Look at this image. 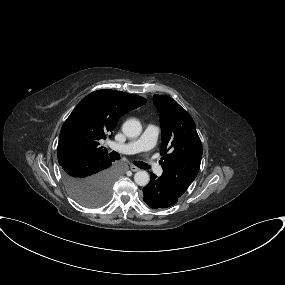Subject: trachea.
I'll use <instances>...</instances> for the list:
<instances>
[{
	"label": "trachea",
	"mask_w": 285,
	"mask_h": 285,
	"mask_svg": "<svg viewBox=\"0 0 285 285\" xmlns=\"http://www.w3.org/2000/svg\"><path fill=\"white\" fill-rule=\"evenodd\" d=\"M110 157L115 159V160H120V155L118 152L116 151H112L111 153H109ZM134 165H136L137 167L139 168H142V169H148V165L145 164L144 162H141V161H134Z\"/></svg>",
	"instance_id": "obj_1"
}]
</instances>
